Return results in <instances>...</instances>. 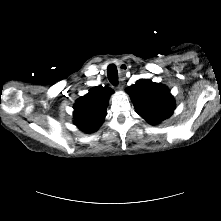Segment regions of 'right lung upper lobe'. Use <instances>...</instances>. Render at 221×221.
<instances>
[{
	"instance_id": "right-lung-upper-lobe-1",
	"label": "right lung upper lobe",
	"mask_w": 221,
	"mask_h": 221,
	"mask_svg": "<svg viewBox=\"0 0 221 221\" xmlns=\"http://www.w3.org/2000/svg\"><path fill=\"white\" fill-rule=\"evenodd\" d=\"M112 89L94 87L79 98L74 105V123L84 132H94L104 121L106 108Z\"/></svg>"
}]
</instances>
